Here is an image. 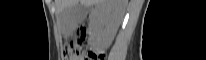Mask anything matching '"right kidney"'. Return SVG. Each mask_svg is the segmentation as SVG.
<instances>
[{"mask_svg": "<svg viewBox=\"0 0 206 60\" xmlns=\"http://www.w3.org/2000/svg\"><path fill=\"white\" fill-rule=\"evenodd\" d=\"M120 0L99 3L92 14L91 42L97 49H104L111 43L123 16Z\"/></svg>", "mask_w": 206, "mask_h": 60, "instance_id": "obj_1", "label": "right kidney"}]
</instances>
